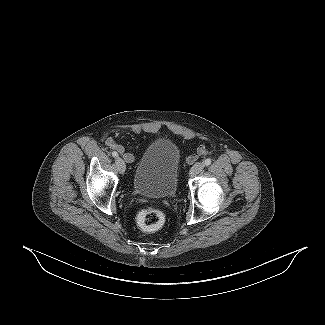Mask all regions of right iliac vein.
Instances as JSON below:
<instances>
[{"label": "right iliac vein", "instance_id": "1", "mask_svg": "<svg viewBox=\"0 0 325 325\" xmlns=\"http://www.w3.org/2000/svg\"><path fill=\"white\" fill-rule=\"evenodd\" d=\"M116 166L118 168V170L120 171V173H124L125 169H126V165L125 162L122 158L118 157L116 158Z\"/></svg>", "mask_w": 325, "mask_h": 325}]
</instances>
